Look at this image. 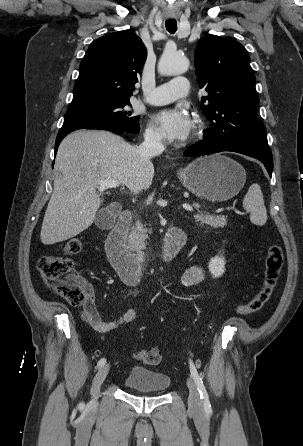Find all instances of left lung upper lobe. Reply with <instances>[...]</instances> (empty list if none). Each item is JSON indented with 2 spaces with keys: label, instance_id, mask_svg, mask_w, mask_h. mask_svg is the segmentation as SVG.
Returning <instances> with one entry per match:
<instances>
[{
  "label": "left lung upper lobe",
  "instance_id": "left-lung-upper-lobe-1",
  "mask_svg": "<svg viewBox=\"0 0 303 446\" xmlns=\"http://www.w3.org/2000/svg\"><path fill=\"white\" fill-rule=\"evenodd\" d=\"M194 59L199 87L208 92L201 99L209 102L201 106L211 125L205 141L269 148L257 116L256 79L244 47L232 37L207 35L198 41Z\"/></svg>",
  "mask_w": 303,
  "mask_h": 446
}]
</instances>
